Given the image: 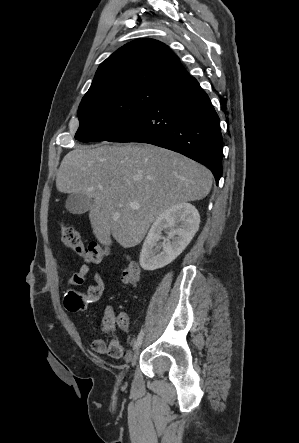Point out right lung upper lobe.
<instances>
[{
  "label": "right lung upper lobe",
  "mask_w": 299,
  "mask_h": 443,
  "mask_svg": "<svg viewBox=\"0 0 299 443\" xmlns=\"http://www.w3.org/2000/svg\"><path fill=\"white\" fill-rule=\"evenodd\" d=\"M190 75L164 43L138 39L125 44L99 66L83 98L119 88L166 90Z\"/></svg>",
  "instance_id": "obj_1"
}]
</instances>
